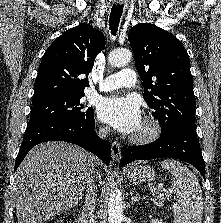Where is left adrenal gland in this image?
Segmentation results:
<instances>
[{
	"mask_svg": "<svg viewBox=\"0 0 221 223\" xmlns=\"http://www.w3.org/2000/svg\"><path fill=\"white\" fill-rule=\"evenodd\" d=\"M140 199H141V198L138 197V196H136V195L134 194V192H131V204H132V205H133V204H136L137 202H139Z\"/></svg>",
	"mask_w": 221,
	"mask_h": 223,
	"instance_id": "left-adrenal-gland-1",
	"label": "left adrenal gland"
}]
</instances>
